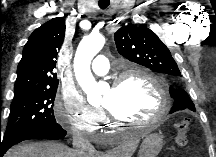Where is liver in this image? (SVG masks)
Returning a JSON list of instances; mask_svg holds the SVG:
<instances>
[{
    "label": "liver",
    "instance_id": "1",
    "mask_svg": "<svg viewBox=\"0 0 216 157\" xmlns=\"http://www.w3.org/2000/svg\"><path fill=\"white\" fill-rule=\"evenodd\" d=\"M139 137H130L122 146L108 153L93 151L90 157H130L136 150ZM5 157H77L74 150L58 142H28L12 147Z\"/></svg>",
    "mask_w": 216,
    "mask_h": 157
}]
</instances>
